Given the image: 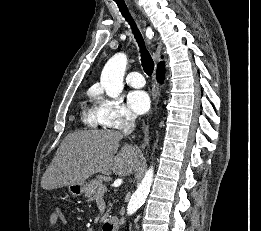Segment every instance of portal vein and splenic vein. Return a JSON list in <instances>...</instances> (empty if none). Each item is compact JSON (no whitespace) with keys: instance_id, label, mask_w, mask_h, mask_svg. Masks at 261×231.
Listing matches in <instances>:
<instances>
[{"instance_id":"1","label":"portal vein and splenic vein","mask_w":261,"mask_h":231,"mask_svg":"<svg viewBox=\"0 0 261 231\" xmlns=\"http://www.w3.org/2000/svg\"><path fill=\"white\" fill-rule=\"evenodd\" d=\"M106 189H107L106 187H101V188H100V191H101V192H105Z\"/></svg>"}]
</instances>
